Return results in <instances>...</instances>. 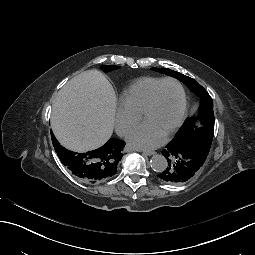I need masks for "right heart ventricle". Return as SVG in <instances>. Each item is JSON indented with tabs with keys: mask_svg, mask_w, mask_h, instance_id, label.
<instances>
[{
	"mask_svg": "<svg viewBox=\"0 0 255 255\" xmlns=\"http://www.w3.org/2000/svg\"><path fill=\"white\" fill-rule=\"evenodd\" d=\"M160 80L162 79L157 77L140 78L119 94V106L140 116L151 89Z\"/></svg>",
	"mask_w": 255,
	"mask_h": 255,
	"instance_id": "1",
	"label": "right heart ventricle"
}]
</instances>
